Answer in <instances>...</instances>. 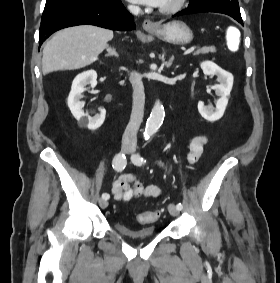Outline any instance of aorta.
Returning a JSON list of instances; mask_svg holds the SVG:
<instances>
[{
  "instance_id": "762f6f07",
  "label": "aorta",
  "mask_w": 280,
  "mask_h": 283,
  "mask_svg": "<svg viewBox=\"0 0 280 283\" xmlns=\"http://www.w3.org/2000/svg\"><path fill=\"white\" fill-rule=\"evenodd\" d=\"M165 116L164 107L159 100H157L152 108L150 117L147 120L144 132L145 138L151 137L159 129L163 123Z\"/></svg>"
}]
</instances>
